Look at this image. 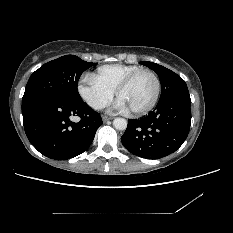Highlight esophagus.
<instances>
[{"label":"esophagus","instance_id":"1","mask_svg":"<svg viewBox=\"0 0 233 233\" xmlns=\"http://www.w3.org/2000/svg\"><path fill=\"white\" fill-rule=\"evenodd\" d=\"M111 119H112V117H108V116H103V117H102V120H103L104 122L109 121V120H111Z\"/></svg>","mask_w":233,"mask_h":233}]
</instances>
